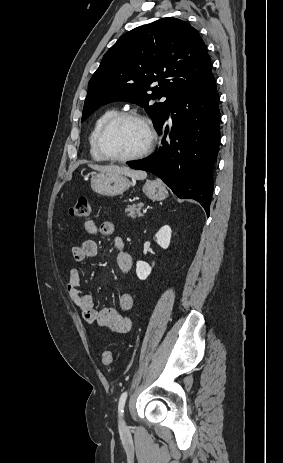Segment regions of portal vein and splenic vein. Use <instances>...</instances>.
Segmentation results:
<instances>
[{"label":"portal vein and splenic vein","mask_w":283,"mask_h":463,"mask_svg":"<svg viewBox=\"0 0 283 463\" xmlns=\"http://www.w3.org/2000/svg\"><path fill=\"white\" fill-rule=\"evenodd\" d=\"M146 212H147V210H146V209H145V210H143V213H146Z\"/></svg>","instance_id":"18ae733b"}]
</instances>
